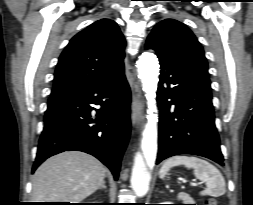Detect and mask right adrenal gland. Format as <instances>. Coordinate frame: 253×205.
Segmentation results:
<instances>
[{
	"instance_id": "2a0ac1e0",
	"label": "right adrenal gland",
	"mask_w": 253,
	"mask_h": 205,
	"mask_svg": "<svg viewBox=\"0 0 253 205\" xmlns=\"http://www.w3.org/2000/svg\"><path fill=\"white\" fill-rule=\"evenodd\" d=\"M106 189L105 181H103L102 185L99 187V189Z\"/></svg>"
}]
</instances>
